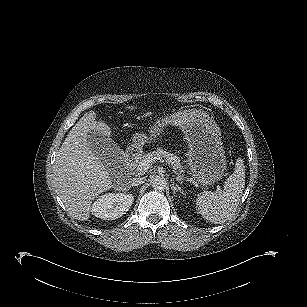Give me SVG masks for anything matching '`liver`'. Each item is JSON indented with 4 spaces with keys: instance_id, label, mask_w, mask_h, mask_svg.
<instances>
[{
    "instance_id": "liver-1",
    "label": "liver",
    "mask_w": 307,
    "mask_h": 307,
    "mask_svg": "<svg viewBox=\"0 0 307 307\" xmlns=\"http://www.w3.org/2000/svg\"><path fill=\"white\" fill-rule=\"evenodd\" d=\"M96 113H86L72 127L56 155L53 182L57 193L70 215L77 220L90 218L92 201L113 185L111 171L91 150L88 135L98 132L109 141L110 127L96 121Z\"/></svg>"
}]
</instances>
